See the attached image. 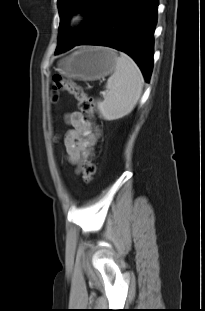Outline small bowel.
I'll list each match as a JSON object with an SVG mask.
<instances>
[{"instance_id":"obj_1","label":"small bowel","mask_w":205,"mask_h":311,"mask_svg":"<svg viewBox=\"0 0 205 311\" xmlns=\"http://www.w3.org/2000/svg\"><path fill=\"white\" fill-rule=\"evenodd\" d=\"M66 120L71 126L63 140L66 155L71 163L80 164L88 147L97 141L99 132L93 131L91 124L80 111L68 113Z\"/></svg>"}]
</instances>
